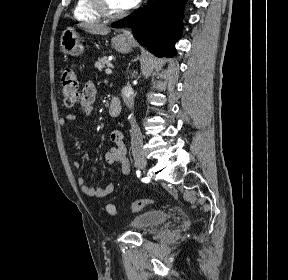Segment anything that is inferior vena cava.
<instances>
[{
    "label": "inferior vena cava",
    "mask_w": 288,
    "mask_h": 280,
    "mask_svg": "<svg viewBox=\"0 0 288 280\" xmlns=\"http://www.w3.org/2000/svg\"><path fill=\"white\" fill-rule=\"evenodd\" d=\"M120 94H123V100L126 101L127 104L134 103V97H136V92L134 89H120ZM129 119L131 124V132H130V147L132 152L133 159H146L147 155L144 154L143 150V136L140 132V125H136L137 121L135 118V113H129Z\"/></svg>",
    "instance_id": "602c4592"
}]
</instances>
